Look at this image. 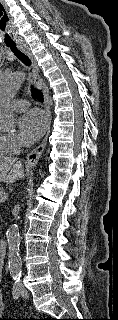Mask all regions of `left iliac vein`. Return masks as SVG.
<instances>
[{
	"mask_svg": "<svg viewBox=\"0 0 118 320\" xmlns=\"http://www.w3.org/2000/svg\"><path fill=\"white\" fill-rule=\"evenodd\" d=\"M20 290H21V296H22L24 299L29 298V293H28V291L26 290V288L24 287L23 283H21V282H20Z\"/></svg>",
	"mask_w": 118,
	"mask_h": 320,
	"instance_id": "left-iliac-vein-1",
	"label": "left iliac vein"
}]
</instances>
